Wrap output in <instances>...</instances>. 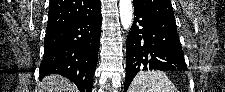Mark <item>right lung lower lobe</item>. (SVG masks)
Listing matches in <instances>:
<instances>
[{
  "instance_id": "1",
  "label": "right lung lower lobe",
  "mask_w": 225,
  "mask_h": 92,
  "mask_svg": "<svg viewBox=\"0 0 225 92\" xmlns=\"http://www.w3.org/2000/svg\"><path fill=\"white\" fill-rule=\"evenodd\" d=\"M101 12L64 27L47 30L40 79L59 74L74 82L80 92H92L101 35Z\"/></svg>"
}]
</instances>
